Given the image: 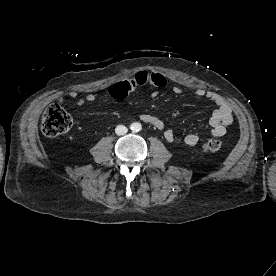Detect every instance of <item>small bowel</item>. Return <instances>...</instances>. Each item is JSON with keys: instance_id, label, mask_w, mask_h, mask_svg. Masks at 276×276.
Listing matches in <instances>:
<instances>
[{"instance_id": "obj_1", "label": "small bowel", "mask_w": 276, "mask_h": 276, "mask_svg": "<svg viewBox=\"0 0 276 276\" xmlns=\"http://www.w3.org/2000/svg\"><path fill=\"white\" fill-rule=\"evenodd\" d=\"M151 85L155 88H166L168 81L166 77L157 71H139L133 77L128 80L117 83L111 87L109 95L115 99H121L126 97L129 93L137 88ZM172 91L175 94H181L182 89L179 86H173ZM195 94L198 97H204L216 105V109L211 114L209 119L210 132L213 136L222 137L226 134L228 127L233 122L232 109L226 99L220 94L206 90L204 88H197ZM77 93L74 91L69 92L67 95L61 96L58 101L64 102L67 98L76 99ZM97 97L94 94H88L83 99H78L76 105L81 106L84 104H91L96 102ZM140 120L152 125L156 129L164 132V138L167 142H173L175 140V133L171 129H166L165 123L162 119L142 113L139 116ZM200 138L197 134H187L183 141L188 146H194L199 142Z\"/></svg>"}]
</instances>
